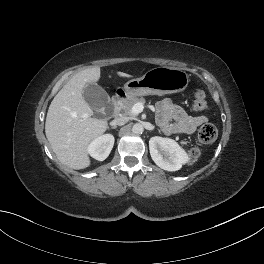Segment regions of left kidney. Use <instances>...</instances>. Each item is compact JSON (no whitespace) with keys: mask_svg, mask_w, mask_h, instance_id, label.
<instances>
[{"mask_svg":"<svg viewBox=\"0 0 264 264\" xmlns=\"http://www.w3.org/2000/svg\"><path fill=\"white\" fill-rule=\"evenodd\" d=\"M149 150L155 164L166 171H177L189 160L185 150L170 138L152 137Z\"/></svg>","mask_w":264,"mask_h":264,"instance_id":"5707ae66","label":"left kidney"}]
</instances>
